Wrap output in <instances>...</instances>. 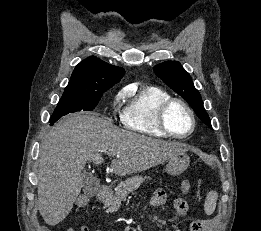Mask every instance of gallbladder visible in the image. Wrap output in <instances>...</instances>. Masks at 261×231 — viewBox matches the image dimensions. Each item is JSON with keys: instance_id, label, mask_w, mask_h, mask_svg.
I'll list each match as a JSON object with an SVG mask.
<instances>
[{"instance_id": "gallbladder-1", "label": "gallbladder", "mask_w": 261, "mask_h": 231, "mask_svg": "<svg viewBox=\"0 0 261 231\" xmlns=\"http://www.w3.org/2000/svg\"><path fill=\"white\" fill-rule=\"evenodd\" d=\"M81 179L83 183L84 192L87 195L91 196L97 192V190L99 189V184L95 177L86 172H82Z\"/></svg>"}]
</instances>
